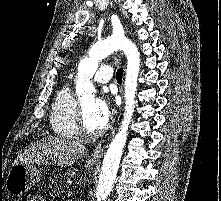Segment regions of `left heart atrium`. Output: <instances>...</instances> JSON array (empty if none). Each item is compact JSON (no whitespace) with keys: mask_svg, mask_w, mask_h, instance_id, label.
I'll return each mask as SVG.
<instances>
[{"mask_svg":"<svg viewBox=\"0 0 221 201\" xmlns=\"http://www.w3.org/2000/svg\"><path fill=\"white\" fill-rule=\"evenodd\" d=\"M94 111L100 120L107 123L112 112L109 100L106 97L96 99L94 103Z\"/></svg>","mask_w":221,"mask_h":201,"instance_id":"1","label":"left heart atrium"}]
</instances>
